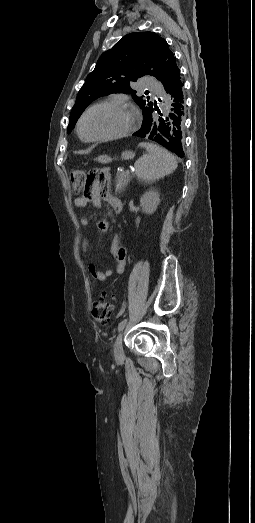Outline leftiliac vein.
Wrapping results in <instances>:
<instances>
[{"instance_id": "1", "label": "left iliac vein", "mask_w": 255, "mask_h": 523, "mask_svg": "<svg viewBox=\"0 0 255 523\" xmlns=\"http://www.w3.org/2000/svg\"><path fill=\"white\" fill-rule=\"evenodd\" d=\"M123 331L119 333L114 344V357L116 360H122L124 357L122 347Z\"/></svg>"}]
</instances>
